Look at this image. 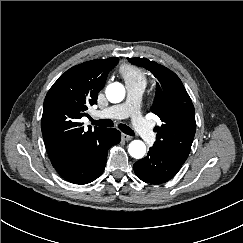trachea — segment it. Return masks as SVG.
<instances>
[{"label": "trachea", "mask_w": 243, "mask_h": 243, "mask_svg": "<svg viewBox=\"0 0 243 243\" xmlns=\"http://www.w3.org/2000/svg\"><path fill=\"white\" fill-rule=\"evenodd\" d=\"M93 125L99 127H111L113 125V121L110 119H101V120H93L91 119ZM119 129L127 135H134V131L125 124H119Z\"/></svg>", "instance_id": "trachea-1"}]
</instances>
